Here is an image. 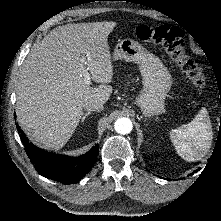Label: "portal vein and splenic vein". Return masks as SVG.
<instances>
[{"instance_id":"obj_1","label":"portal vein and splenic vein","mask_w":221,"mask_h":221,"mask_svg":"<svg viewBox=\"0 0 221 221\" xmlns=\"http://www.w3.org/2000/svg\"><path fill=\"white\" fill-rule=\"evenodd\" d=\"M83 76H84L85 83L87 85H90L91 84V78H90V74L88 73L87 70L83 71Z\"/></svg>"}]
</instances>
